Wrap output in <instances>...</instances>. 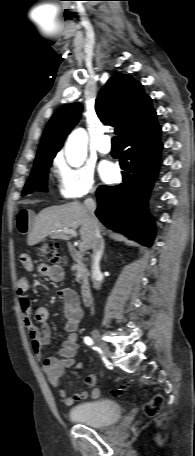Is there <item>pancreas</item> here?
<instances>
[{
  "label": "pancreas",
  "instance_id": "1",
  "mask_svg": "<svg viewBox=\"0 0 195 456\" xmlns=\"http://www.w3.org/2000/svg\"><path fill=\"white\" fill-rule=\"evenodd\" d=\"M76 279L77 281H86L89 273L84 264L77 265L76 267Z\"/></svg>",
  "mask_w": 195,
  "mask_h": 456
}]
</instances>
